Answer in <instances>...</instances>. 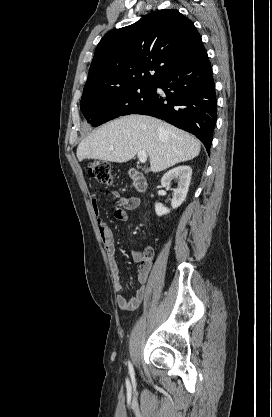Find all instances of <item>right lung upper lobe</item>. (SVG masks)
Masks as SVG:
<instances>
[{
  "label": "right lung upper lobe",
  "instance_id": "cb5924a9",
  "mask_svg": "<svg viewBox=\"0 0 272 417\" xmlns=\"http://www.w3.org/2000/svg\"><path fill=\"white\" fill-rule=\"evenodd\" d=\"M201 45L192 21L177 10L152 12L105 34L97 45L83 94L103 95L153 83Z\"/></svg>",
  "mask_w": 272,
  "mask_h": 417
}]
</instances>
